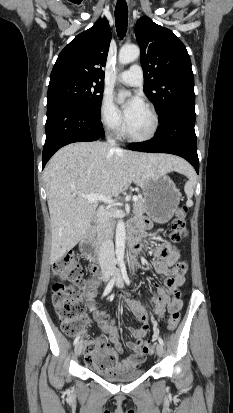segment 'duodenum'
Segmentation results:
<instances>
[{"label": "duodenum", "mask_w": 233, "mask_h": 413, "mask_svg": "<svg viewBox=\"0 0 233 413\" xmlns=\"http://www.w3.org/2000/svg\"><path fill=\"white\" fill-rule=\"evenodd\" d=\"M128 244L130 246V261L129 265L131 268H136L138 266V253H139V237L137 234H130L128 237ZM80 250L88 258L93 261H99L100 251L99 247L95 241L94 229L89 228L85 231L79 244Z\"/></svg>", "instance_id": "1"}]
</instances>
